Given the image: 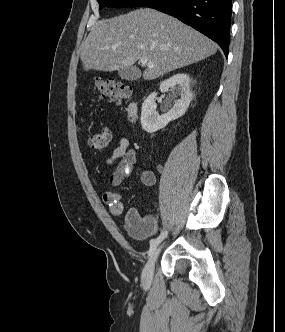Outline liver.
I'll list each match as a JSON object with an SVG mask.
<instances>
[{"mask_svg":"<svg viewBox=\"0 0 285 332\" xmlns=\"http://www.w3.org/2000/svg\"><path fill=\"white\" fill-rule=\"evenodd\" d=\"M218 46L181 21L154 9L143 8L96 22L80 46L83 69L111 72L148 58L155 66L144 80L201 61Z\"/></svg>","mask_w":285,"mask_h":332,"instance_id":"1","label":"liver"}]
</instances>
